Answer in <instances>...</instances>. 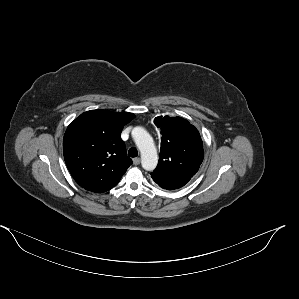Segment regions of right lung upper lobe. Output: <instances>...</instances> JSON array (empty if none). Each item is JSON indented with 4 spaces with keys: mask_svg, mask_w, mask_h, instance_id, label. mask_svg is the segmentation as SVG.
I'll return each instance as SVG.
<instances>
[{
    "mask_svg": "<svg viewBox=\"0 0 299 299\" xmlns=\"http://www.w3.org/2000/svg\"><path fill=\"white\" fill-rule=\"evenodd\" d=\"M133 118V113L98 109L84 112L67 127L64 159L81 187L103 193L120 181L132 164L120 135Z\"/></svg>",
    "mask_w": 299,
    "mask_h": 299,
    "instance_id": "cb5924a9",
    "label": "right lung upper lobe"
}]
</instances>
